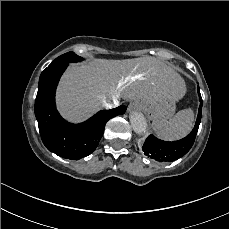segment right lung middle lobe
<instances>
[{
    "mask_svg": "<svg viewBox=\"0 0 229 229\" xmlns=\"http://www.w3.org/2000/svg\"><path fill=\"white\" fill-rule=\"evenodd\" d=\"M81 60H83V58L77 56L74 52H68L56 58L45 70L52 69L63 64H69L71 62H78Z\"/></svg>",
    "mask_w": 229,
    "mask_h": 229,
    "instance_id": "1",
    "label": "right lung middle lobe"
}]
</instances>
